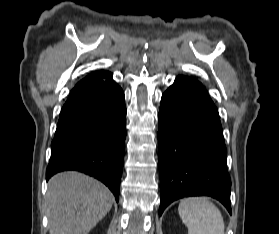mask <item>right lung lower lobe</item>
Instances as JSON below:
<instances>
[{
    "label": "right lung lower lobe",
    "instance_id": "98d812e1",
    "mask_svg": "<svg viewBox=\"0 0 279 234\" xmlns=\"http://www.w3.org/2000/svg\"><path fill=\"white\" fill-rule=\"evenodd\" d=\"M125 136L123 90L108 71L89 74L61 110L46 180L61 171H80L102 181L118 202Z\"/></svg>",
    "mask_w": 279,
    "mask_h": 234
}]
</instances>
